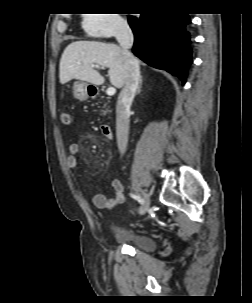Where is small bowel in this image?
Returning <instances> with one entry per match:
<instances>
[{
    "mask_svg": "<svg viewBox=\"0 0 252 303\" xmlns=\"http://www.w3.org/2000/svg\"><path fill=\"white\" fill-rule=\"evenodd\" d=\"M78 150L79 144L77 141L70 143L66 165L72 171H76L78 169V162L76 159ZM110 192L112 193L111 198H107L105 195L100 193L92 194V202L94 206L99 209L112 210L125 201L124 186L120 180L112 179L110 181Z\"/></svg>",
    "mask_w": 252,
    "mask_h": 303,
    "instance_id": "c3829d8e",
    "label": "small bowel"
}]
</instances>
